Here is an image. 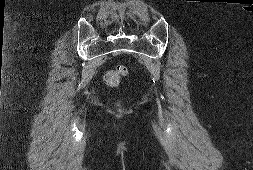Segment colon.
I'll return each instance as SVG.
<instances>
[{
	"label": "colon",
	"mask_w": 253,
	"mask_h": 170,
	"mask_svg": "<svg viewBox=\"0 0 253 170\" xmlns=\"http://www.w3.org/2000/svg\"><path fill=\"white\" fill-rule=\"evenodd\" d=\"M128 74V69L125 65H118L115 69L108 71L104 76V81L107 85H118L123 77Z\"/></svg>",
	"instance_id": "colon-1"
}]
</instances>
